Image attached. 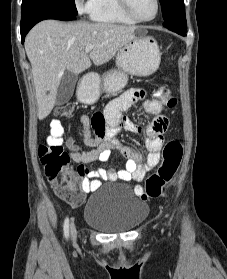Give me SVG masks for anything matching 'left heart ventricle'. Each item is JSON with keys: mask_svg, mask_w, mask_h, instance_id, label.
Listing matches in <instances>:
<instances>
[{"mask_svg": "<svg viewBox=\"0 0 227 279\" xmlns=\"http://www.w3.org/2000/svg\"><path fill=\"white\" fill-rule=\"evenodd\" d=\"M134 13L140 18H150L155 12L154 0H129Z\"/></svg>", "mask_w": 227, "mask_h": 279, "instance_id": "left-heart-ventricle-1", "label": "left heart ventricle"}]
</instances>
